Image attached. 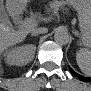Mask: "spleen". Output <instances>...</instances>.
Segmentation results:
<instances>
[{"label":"spleen","mask_w":91,"mask_h":91,"mask_svg":"<svg viewBox=\"0 0 91 91\" xmlns=\"http://www.w3.org/2000/svg\"><path fill=\"white\" fill-rule=\"evenodd\" d=\"M76 61L83 73H91V51L88 48H81L77 52Z\"/></svg>","instance_id":"obj_1"}]
</instances>
